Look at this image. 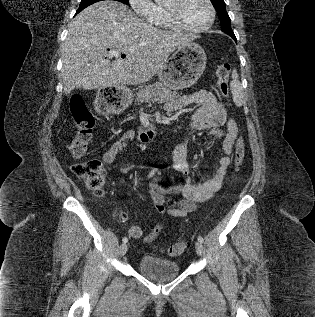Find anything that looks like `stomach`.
Listing matches in <instances>:
<instances>
[{"label":"stomach","mask_w":315,"mask_h":317,"mask_svg":"<svg viewBox=\"0 0 315 317\" xmlns=\"http://www.w3.org/2000/svg\"><path fill=\"white\" fill-rule=\"evenodd\" d=\"M207 57L196 43L190 42L178 47L170 59L159 71V84L170 89H184L194 85L203 74ZM100 95H126V97H104L107 111L114 114H127L131 104H137L138 98L132 97L123 84L117 88H100Z\"/></svg>","instance_id":"obj_1"}]
</instances>
